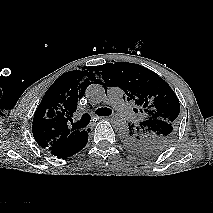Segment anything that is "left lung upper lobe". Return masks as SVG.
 Wrapping results in <instances>:
<instances>
[{
	"instance_id": "5c2ea615",
	"label": "left lung upper lobe",
	"mask_w": 213,
	"mask_h": 213,
	"mask_svg": "<svg viewBox=\"0 0 213 213\" xmlns=\"http://www.w3.org/2000/svg\"><path fill=\"white\" fill-rule=\"evenodd\" d=\"M105 86H118L133 101L139 114L122 132L125 145L143 156H154L167 149L177 135L180 103L168 85L153 71L134 63H106L96 67ZM105 91H106V87Z\"/></svg>"
}]
</instances>
